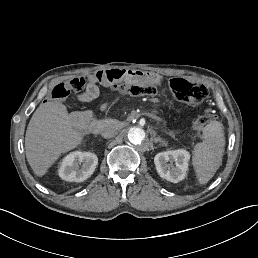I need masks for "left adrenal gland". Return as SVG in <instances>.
I'll return each mask as SVG.
<instances>
[{
    "instance_id": "obj_1",
    "label": "left adrenal gland",
    "mask_w": 258,
    "mask_h": 258,
    "mask_svg": "<svg viewBox=\"0 0 258 258\" xmlns=\"http://www.w3.org/2000/svg\"><path fill=\"white\" fill-rule=\"evenodd\" d=\"M152 135H153V141H154V143H158V142L165 143V141H164L162 138L155 136V135H156L155 132H152Z\"/></svg>"
}]
</instances>
